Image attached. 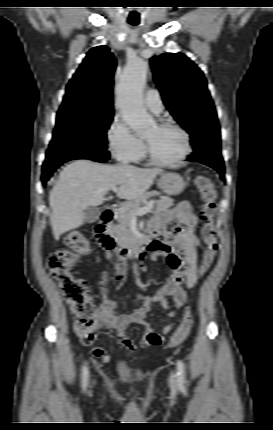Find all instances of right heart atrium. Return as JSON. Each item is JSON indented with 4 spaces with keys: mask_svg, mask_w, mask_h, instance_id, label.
I'll return each instance as SVG.
<instances>
[{
    "mask_svg": "<svg viewBox=\"0 0 273 430\" xmlns=\"http://www.w3.org/2000/svg\"><path fill=\"white\" fill-rule=\"evenodd\" d=\"M107 142L111 154L122 163L134 162L144 152L143 141L118 115L108 127Z\"/></svg>",
    "mask_w": 273,
    "mask_h": 430,
    "instance_id": "1",
    "label": "right heart atrium"
}]
</instances>
